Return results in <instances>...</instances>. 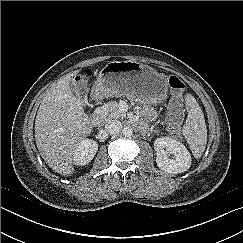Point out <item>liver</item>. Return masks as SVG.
<instances>
[{
	"label": "liver",
	"instance_id": "1",
	"mask_svg": "<svg viewBox=\"0 0 243 243\" xmlns=\"http://www.w3.org/2000/svg\"><path fill=\"white\" fill-rule=\"evenodd\" d=\"M78 72L65 75L47 91L35 120V140L41 157L63 176L74 172L73 154L79 141L92 130L82 102L70 88Z\"/></svg>",
	"mask_w": 243,
	"mask_h": 243
}]
</instances>
